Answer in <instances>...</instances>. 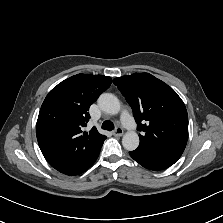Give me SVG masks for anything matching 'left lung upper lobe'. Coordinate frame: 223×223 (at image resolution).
I'll return each mask as SVG.
<instances>
[{"mask_svg": "<svg viewBox=\"0 0 223 223\" xmlns=\"http://www.w3.org/2000/svg\"><path fill=\"white\" fill-rule=\"evenodd\" d=\"M113 83L130 104L140 144L134 151L177 161L188 140V115L177 93L148 73L117 77Z\"/></svg>", "mask_w": 223, "mask_h": 223, "instance_id": "left-lung-upper-lobe-1", "label": "left lung upper lobe"}]
</instances>
